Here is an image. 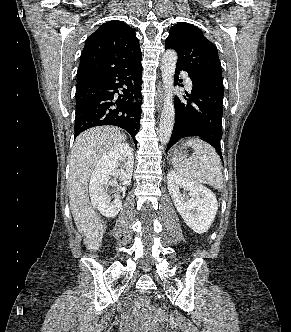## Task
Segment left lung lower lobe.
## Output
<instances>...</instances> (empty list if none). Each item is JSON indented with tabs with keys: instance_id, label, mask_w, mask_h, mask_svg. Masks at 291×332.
Masks as SVG:
<instances>
[{
	"instance_id": "left-lung-lower-lobe-1",
	"label": "left lung lower lobe",
	"mask_w": 291,
	"mask_h": 332,
	"mask_svg": "<svg viewBox=\"0 0 291 332\" xmlns=\"http://www.w3.org/2000/svg\"><path fill=\"white\" fill-rule=\"evenodd\" d=\"M175 84H178L179 71L176 66ZM189 74L192 91L189 98L175 97V124L167 151L179 139L197 136L213 146L223 160L220 140L222 138L223 80L217 74ZM181 82V81H180Z\"/></svg>"
}]
</instances>
